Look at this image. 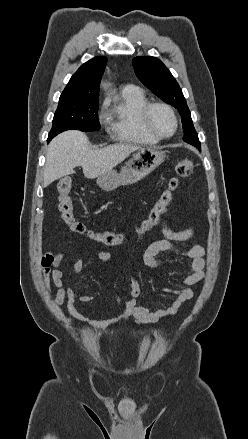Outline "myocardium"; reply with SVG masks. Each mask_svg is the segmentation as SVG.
I'll return each mask as SVG.
<instances>
[{"label": "myocardium", "instance_id": "myocardium-1", "mask_svg": "<svg viewBox=\"0 0 248 439\" xmlns=\"http://www.w3.org/2000/svg\"><path fill=\"white\" fill-rule=\"evenodd\" d=\"M155 107H162V108L166 109L170 113V115L172 116L173 121H174V129L170 134H168V135L161 134L154 128L152 121H151V113ZM141 117H142V122H143L145 128L148 130V132L160 140L168 139V138L172 137L178 129L179 123H178V117L176 115V112L173 109V107L166 102H162V101L148 102L142 110Z\"/></svg>", "mask_w": 248, "mask_h": 439}]
</instances>
